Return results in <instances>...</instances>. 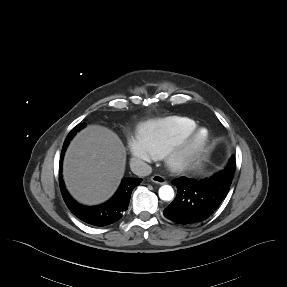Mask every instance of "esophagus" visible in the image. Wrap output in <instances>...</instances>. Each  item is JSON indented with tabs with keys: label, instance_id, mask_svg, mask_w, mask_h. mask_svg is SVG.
<instances>
[{
	"label": "esophagus",
	"instance_id": "esophagus-1",
	"mask_svg": "<svg viewBox=\"0 0 287 287\" xmlns=\"http://www.w3.org/2000/svg\"><path fill=\"white\" fill-rule=\"evenodd\" d=\"M151 181L156 183V184H159V185H163L166 183V180L164 179V177H162L161 175H158V174L153 175L151 177Z\"/></svg>",
	"mask_w": 287,
	"mask_h": 287
}]
</instances>
